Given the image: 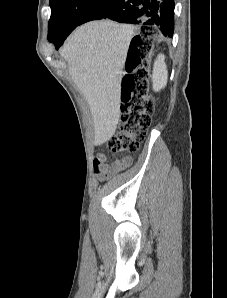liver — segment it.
<instances>
[{
  "label": "liver",
  "mask_w": 227,
  "mask_h": 298,
  "mask_svg": "<svg viewBox=\"0 0 227 298\" xmlns=\"http://www.w3.org/2000/svg\"><path fill=\"white\" fill-rule=\"evenodd\" d=\"M135 32L132 25L91 21L78 27L60 51L72 80L89 104L94 145L111 139L117 128L121 78Z\"/></svg>",
  "instance_id": "1"
}]
</instances>
